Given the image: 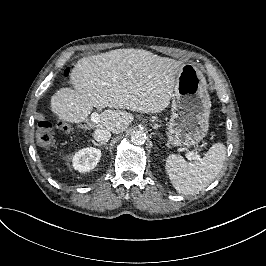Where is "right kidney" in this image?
<instances>
[{"instance_id":"obj_1","label":"right kidney","mask_w":266,"mask_h":266,"mask_svg":"<svg viewBox=\"0 0 266 266\" xmlns=\"http://www.w3.org/2000/svg\"><path fill=\"white\" fill-rule=\"evenodd\" d=\"M101 158V152L95 148H87L78 152L74 158L73 163L76 169L80 172L92 170Z\"/></svg>"}]
</instances>
